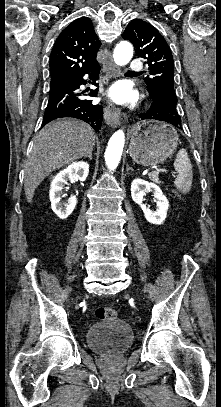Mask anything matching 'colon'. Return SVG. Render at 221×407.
I'll return each mask as SVG.
<instances>
[{
    "label": "colon",
    "instance_id": "5ec220e1",
    "mask_svg": "<svg viewBox=\"0 0 221 407\" xmlns=\"http://www.w3.org/2000/svg\"><path fill=\"white\" fill-rule=\"evenodd\" d=\"M96 318L98 320H114L117 316V313L114 309L108 307H99L95 311Z\"/></svg>",
    "mask_w": 221,
    "mask_h": 407
}]
</instances>
